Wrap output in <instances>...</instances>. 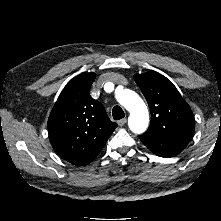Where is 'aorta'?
I'll return each mask as SVG.
<instances>
[{
  "mask_svg": "<svg viewBox=\"0 0 221 221\" xmlns=\"http://www.w3.org/2000/svg\"><path fill=\"white\" fill-rule=\"evenodd\" d=\"M116 99L130 113L128 119L130 130L136 134L145 132L149 123V114L139 95L132 90L124 89L117 91Z\"/></svg>",
  "mask_w": 221,
  "mask_h": 221,
  "instance_id": "762f6f07",
  "label": "aorta"
}]
</instances>
